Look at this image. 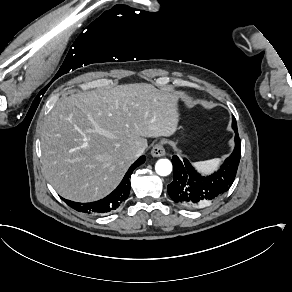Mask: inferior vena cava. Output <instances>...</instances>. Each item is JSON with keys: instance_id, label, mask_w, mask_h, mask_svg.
<instances>
[{"instance_id": "inferior-vena-cava-1", "label": "inferior vena cava", "mask_w": 292, "mask_h": 292, "mask_svg": "<svg viewBox=\"0 0 292 292\" xmlns=\"http://www.w3.org/2000/svg\"><path fill=\"white\" fill-rule=\"evenodd\" d=\"M146 147H138L136 148V157H139L140 155H142L145 151Z\"/></svg>"}]
</instances>
